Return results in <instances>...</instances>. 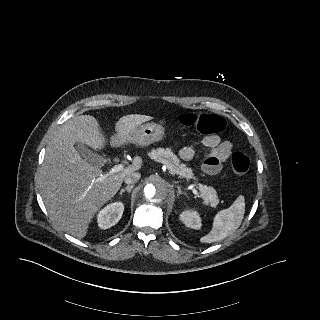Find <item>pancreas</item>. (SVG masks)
I'll list each match as a JSON object with an SVG mask.
<instances>
[{
  "label": "pancreas",
  "mask_w": 320,
  "mask_h": 320,
  "mask_svg": "<svg viewBox=\"0 0 320 320\" xmlns=\"http://www.w3.org/2000/svg\"><path fill=\"white\" fill-rule=\"evenodd\" d=\"M149 157L157 162L164 164L172 175H178L179 177L189 179H195L193 172L186 164H181L180 159L169 148L153 149L149 153ZM200 197L203 199V203L206 206L216 208L219 203L217 192L213 187L206 185H199Z\"/></svg>",
  "instance_id": "cf45deb5"
}]
</instances>
